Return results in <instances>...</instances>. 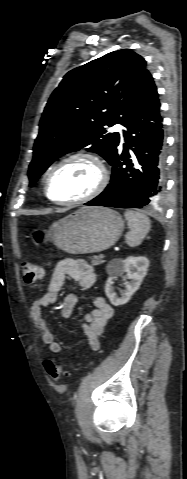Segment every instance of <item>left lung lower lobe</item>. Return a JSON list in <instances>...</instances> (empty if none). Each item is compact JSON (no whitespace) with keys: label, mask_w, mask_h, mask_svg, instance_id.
<instances>
[{"label":"left lung lower lobe","mask_w":187,"mask_h":479,"mask_svg":"<svg viewBox=\"0 0 187 479\" xmlns=\"http://www.w3.org/2000/svg\"><path fill=\"white\" fill-rule=\"evenodd\" d=\"M160 102L148 75L123 126L125 143L118 145L111 183L85 205L142 208L158 203L164 193V133ZM120 143V141H119ZM131 149L135 157L129 154Z\"/></svg>","instance_id":"0a47b994"}]
</instances>
